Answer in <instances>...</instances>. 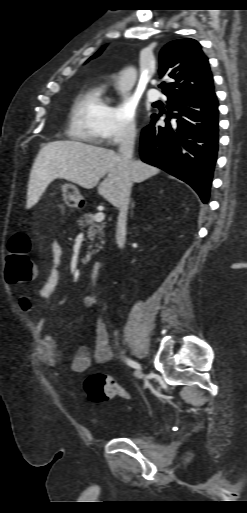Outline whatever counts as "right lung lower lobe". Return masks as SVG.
Instances as JSON below:
<instances>
[{"instance_id":"right-lung-lower-lobe-1","label":"right lung lower lobe","mask_w":247,"mask_h":513,"mask_svg":"<svg viewBox=\"0 0 247 513\" xmlns=\"http://www.w3.org/2000/svg\"><path fill=\"white\" fill-rule=\"evenodd\" d=\"M165 126L158 115L143 128L142 160L188 183L207 203L218 151V100L214 89L200 95L169 97Z\"/></svg>"}]
</instances>
